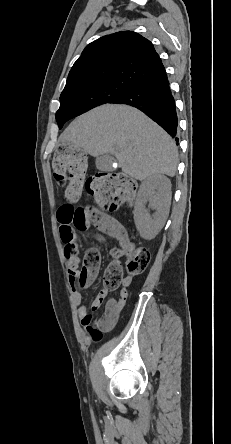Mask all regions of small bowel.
Masks as SVG:
<instances>
[{
    "label": "small bowel",
    "mask_w": 231,
    "mask_h": 444,
    "mask_svg": "<svg viewBox=\"0 0 231 444\" xmlns=\"http://www.w3.org/2000/svg\"><path fill=\"white\" fill-rule=\"evenodd\" d=\"M68 206L69 204L61 205L58 209L57 217L58 222L60 223V236L65 244V251L68 252L72 250L74 252V256L68 260L69 278L74 289L73 304L77 310V315L86 334L93 340H99L102 332L111 330L117 323L119 315L128 299L129 294L126 287L130 285L131 277H127L123 280L124 288L121 290L119 298L109 299L101 316L95 318L92 312L97 311L101 307L103 301L108 296L107 291H100L97 297L92 301L90 305L91 312L85 304H82V297L78 291L77 283L79 272L77 247L75 242V229L70 225L64 224L62 221L64 211L68 208ZM93 227H95L99 232L115 238L122 245L130 246L125 228L112 216L101 214Z\"/></svg>",
    "instance_id": "c3829d8e"
}]
</instances>
